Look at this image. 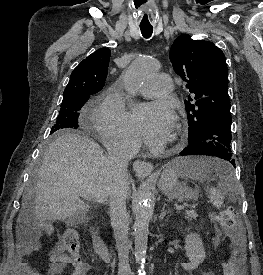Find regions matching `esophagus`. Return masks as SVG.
Here are the masks:
<instances>
[{
  "mask_svg": "<svg viewBox=\"0 0 263 275\" xmlns=\"http://www.w3.org/2000/svg\"><path fill=\"white\" fill-rule=\"evenodd\" d=\"M133 169H134L137 176L145 177V176L149 175L152 172L153 166L149 162H145V161H142V160H136L133 163Z\"/></svg>",
  "mask_w": 263,
  "mask_h": 275,
  "instance_id": "obj_1",
  "label": "esophagus"
}]
</instances>
